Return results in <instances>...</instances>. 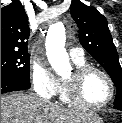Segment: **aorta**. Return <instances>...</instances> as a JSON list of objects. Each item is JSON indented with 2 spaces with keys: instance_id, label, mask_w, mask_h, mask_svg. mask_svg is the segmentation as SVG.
Instances as JSON below:
<instances>
[{
  "instance_id": "obj_1",
  "label": "aorta",
  "mask_w": 122,
  "mask_h": 123,
  "mask_svg": "<svg viewBox=\"0 0 122 123\" xmlns=\"http://www.w3.org/2000/svg\"><path fill=\"white\" fill-rule=\"evenodd\" d=\"M46 54L51 67L58 74L70 69L69 57L65 49V28L61 22L50 26L46 38Z\"/></svg>"
}]
</instances>
